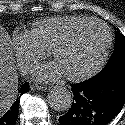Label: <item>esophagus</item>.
<instances>
[{"mask_svg": "<svg viewBox=\"0 0 125 125\" xmlns=\"http://www.w3.org/2000/svg\"><path fill=\"white\" fill-rule=\"evenodd\" d=\"M36 88H37L38 90H42V91L48 90V87H47V86H43V85H39V84H36Z\"/></svg>", "mask_w": 125, "mask_h": 125, "instance_id": "esophagus-1", "label": "esophagus"}]
</instances>
